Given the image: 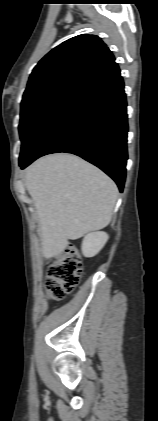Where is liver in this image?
I'll return each mask as SVG.
<instances>
[{"mask_svg":"<svg viewBox=\"0 0 158 421\" xmlns=\"http://www.w3.org/2000/svg\"><path fill=\"white\" fill-rule=\"evenodd\" d=\"M25 185L38 213L45 257L61 254L68 240L106 227L118 197L112 179L70 154L36 160L26 170Z\"/></svg>","mask_w":158,"mask_h":421,"instance_id":"1","label":"liver"}]
</instances>
